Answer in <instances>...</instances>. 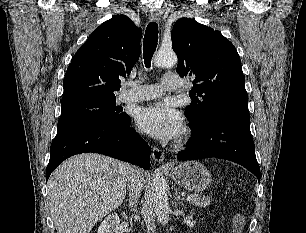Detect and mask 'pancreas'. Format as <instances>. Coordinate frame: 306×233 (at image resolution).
<instances>
[{"instance_id": "1", "label": "pancreas", "mask_w": 306, "mask_h": 233, "mask_svg": "<svg viewBox=\"0 0 306 233\" xmlns=\"http://www.w3.org/2000/svg\"><path fill=\"white\" fill-rule=\"evenodd\" d=\"M192 197V200L190 201L191 204L197 206V207H207L210 204V199L207 197H201L197 194L190 195Z\"/></svg>"}]
</instances>
